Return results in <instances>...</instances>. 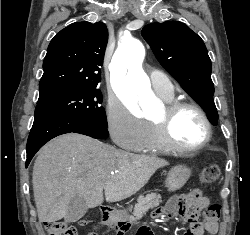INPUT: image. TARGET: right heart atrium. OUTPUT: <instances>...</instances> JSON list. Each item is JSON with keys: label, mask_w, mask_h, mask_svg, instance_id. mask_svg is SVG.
Masks as SVG:
<instances>
[{"label": "right heart atrium", "mask_w": 250, "mask_h": 235, "mask_svg": "<svg viewBox=\"0 0 250 235\" xmlns=\"http://www.w3.org/2000/svg\"><path fill=\"white\" fill-rule=\"evenodd\" d=\"M106 122L111 138L121 148L139 151L144 145L148 132L147 123L119 100H109Z\"/></svg>", "instance_id": "obj_1"}]
</instances>
